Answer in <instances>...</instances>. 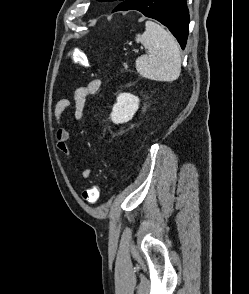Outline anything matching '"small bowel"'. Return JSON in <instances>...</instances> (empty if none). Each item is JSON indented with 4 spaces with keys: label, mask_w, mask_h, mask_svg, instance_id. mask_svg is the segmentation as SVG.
<instances>
[{
    "label": "small bowel",
    "mask_w": 249,
    "mask_h": 294,
    "mask_svg": "<svg viewBox=\"0 0 249 294\" xmlns=\"http://www.w3.org/2000/svg\"><path fill=\"white\" fill-rule=\"evenodd\" d=\"M100 85L101 81L97 78L91 79L86 83L79 84L73 90L72 100L61 99L55 105L54 117L56 125L58 126L55 133L57 149L70 159L72 157V153L67 142L71 138V131L60 127L61 116L67 109H72L74 119L76 121H81L84 116L88 97L96 94L100 88ZM72 169L74 171H81V176L84 179H90L92 176V170L89 167L81 169L78 165L73 164Z\"/></svg>",
    "instance_id": "small-bowel-1"
}]
</instances>
